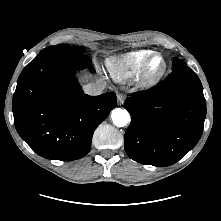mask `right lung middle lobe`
<instances>
[{
  "mask_svg": "<svg viewBox=\"0 0 221 221\" xmlns=\"http://www.w3.org/2000/svg\"><path fill=\"white\" fill-rule=\"evenodd\" d=\"M46 52L58 53V54H83L84 47H72V46H67V45H55V46H50V47L45 48L39 54L46 53Z\"/></svg>",
  "mask_w": 221,
  "mask_h": 221,
  "instance_id": "1",
  "label": "right lung middle lobe"
}]
</instances>
